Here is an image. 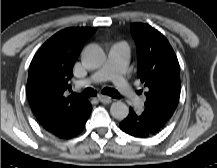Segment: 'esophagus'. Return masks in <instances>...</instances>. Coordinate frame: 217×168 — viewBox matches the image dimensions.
<instances>
[{"label": "esophagus", "mask_w": 217, "mask_h": 168, "mask_svg": "<svg viewBox=\"0 0 217 168\" xmlns=\"http://www.w3.org/2000/svg\"><path fill=\"white\" fill-rule=\"evenodd\" d=\"M98 99L100 102L104 103V104H109L112 101V98L106 95H99Z\"/></svg>", "instance_id": "1"}]
</instances>
